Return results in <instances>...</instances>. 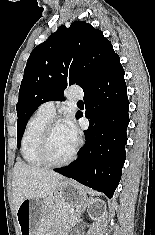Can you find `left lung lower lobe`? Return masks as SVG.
<instances>
[{"instance_id":"0a47b994","label":"left lung lower lobe","mask_w":155,"mask_h":235,"mask_svg":"<svg viewBox=\"0 0 155 235\" xmlns=\"http://www.w3.org/2000/svg\"><path fill=\"white\" fill-rule=\"evenodd\" d=\"M120 58H116L99 80L84 90L85 145L78 159L54 171L112 198L125 162L129 101ZM79 113L77 118L82 117Z\"/></svg>"}]
</instances>
